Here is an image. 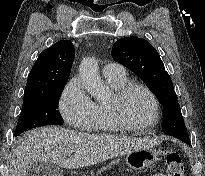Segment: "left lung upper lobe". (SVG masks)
Masks as SVG:
<instances>
[{"mask_svg":"<svg viewBox=\"0 0 205 176\" xmlns=\"http://www.w3.org/2000/svg\"><path fill=\"white\" fill-rule=\"evenodd\" d=\"M112 57L142 78L163 104V131L190 145L171 77L156 49L145 39L126 37L113 45Z\"/></svg>","mask_w":205,"mask_h":176,"instance_id":"obj_1","label":"left lung upper lobe"}]
</instances>
